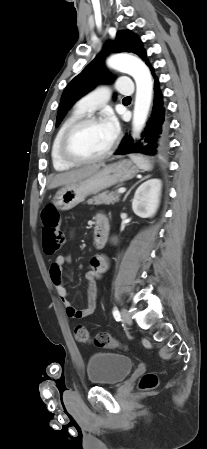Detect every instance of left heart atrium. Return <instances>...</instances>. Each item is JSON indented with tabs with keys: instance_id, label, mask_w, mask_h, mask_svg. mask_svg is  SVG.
<instances>
[{
	"instance_id": "obj_1",
	"label": "left heart atrium",
	"mask_w": 207,
	"mask_h": 449,
	"mask_svg": "<svg viewBox=\"0 0 207 449\" xmlns=\"http://www.w3.org/2000/svg\"><path fill=\"white\" fill-rule=\"evenodd\" d=\"M103 124L112 140L115 139L119 133V123L117 119L113 115H110L105 119Z\"/></svg>"
}]
</instances>
